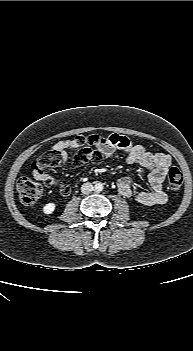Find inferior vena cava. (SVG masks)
<instances>
[{"mask_svg": "<svg viewBox=\"0 0 193 351\" xmlns=\"http://www.w3.org/2000/svg\"><path fill=\"white\" fill-rule=\"evenodd\" d=\"M94 190V187L91 183L87 182V183H84L82 186H81V192L83 194H89L91 193L92 191Z\"/></svg>", "mask_w": 193, "mask_h": 351, "instance_id": "602c4592", "label": "inferior vena cava"}]
</instances>
